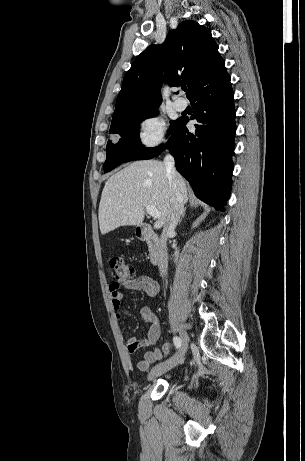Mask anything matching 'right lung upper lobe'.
<instances>
[{
  "label": "right lung upper lobe",
  "mask_w": 305,
  "mask_h": 461,
  "mask_svg": "<svg viewBox=\"0 0 305 461\" xmlns=\"http://www.w3.org/2000/svg\"><path fill=\"white\" fill-rule=\"evenodd\" d=\"M167 79H162V72ZM225 62L208 28L186 20L170 31L161 45H151L133 62L124 76L111 127L128 117L157 108L161 85L187 84V97L226 73ZM110 127V129H111Z\"/></svg>",
  "instance_id": "cb5924a9"
}]
</instances>
